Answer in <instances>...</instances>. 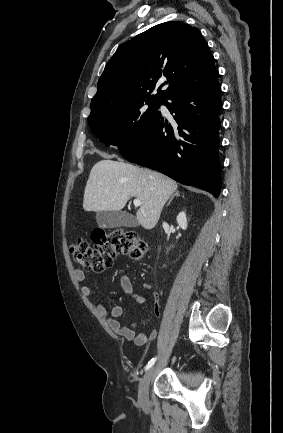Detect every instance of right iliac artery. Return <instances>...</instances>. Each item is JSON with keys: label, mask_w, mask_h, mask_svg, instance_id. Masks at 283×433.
<instances>
[{"label": "right iliac artery", "mask_w": 283, "mask_h": 433, "mask_svg": "<svg viewBox=\"0 0 283 433\" xmlns=\"http://www.w3.org/2000/svg\"><path fill=\"white\" fill-rule=\"evenodd\" d=\"M156 358H152L145 367V371H147L150 367L154 365Z\"/></svg>", "instance_id": "1"}]
</instances>
